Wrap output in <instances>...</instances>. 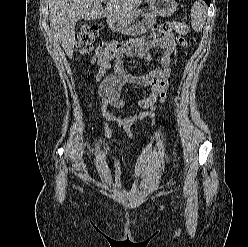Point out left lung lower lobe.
Masks as SVG:
<instances>
[{"label": "left lung lower lobe", "instance_id": "1", "mask_svg": "<svg viewBox=\"0 0 248 247\" xmlns=\"http://www.w3.org/2000/svg\"><path fill=\"white\" fill-rule=\"evenodd\" d=\"M208 6H210V0H204Z\"/></svg>", "mask_w": 248, "mask_h": 247}]
</instances>
